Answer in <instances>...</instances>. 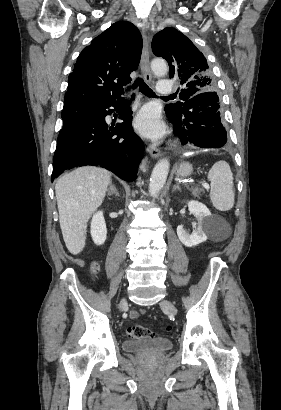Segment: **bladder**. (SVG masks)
<instances>
[{
    "label": "bladder",
    "mask_w": 281,
    "mask_h": 410,
    "mask_svg": "<svg viewBox=\"0 0 281 410\" xmlns=\"http://www.w3.org/2000/svg\"><path fill=\"white\" fill-rule=\"evenodd\" d=\"M173 347L171 341L165 339H128L124 341L123 348L128 353L157 355L170 351Z\"/></svg>",
    "instance_id": "31cf9c89"
}]
</instances>
